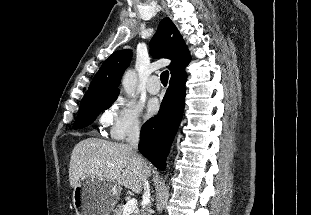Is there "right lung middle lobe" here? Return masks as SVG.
<instances>
[{
    "label": "right lung middle lobe",
    "instance_id": "right-lung-middle-lobe-1",
    "mask_svg": "<svg viewBox=\"0 0 311 215\" xmlns=\"http://www.w3.org/2000/svg\"><path fill=\"white\" fill-rule=\"evenodd\" d=\"M117 97L118 96H104L82 102L73 128L79 129L91 124L100 112L107 109Z\"/></svg>",
    "mask_w": 311,
    "mask_h": 215
}]
</instances>
